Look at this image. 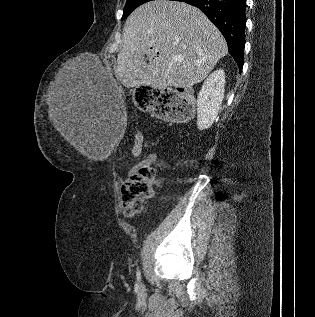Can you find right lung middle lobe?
<instances>
[{
    "mask_svg": "<svg viewBox=\"0 0 315 317\" xmlns=\"http://www.w3.org/2000/svg\"><path fill=\"white\" fill-rule=\"evenodd\" d=\"M152 0H127L124 7L122 20H124L135 8Z\"/></svg>",
    "mask_w": 315,
    "mask_h": 317,
    "instance_id": "dd1d6c3e",
    "label": "right lung middle lobe"
}]
</instances>
